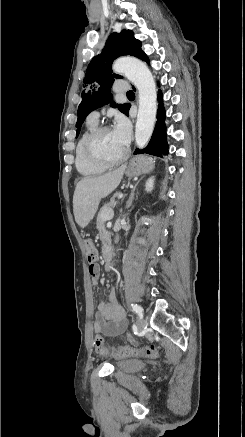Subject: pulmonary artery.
I'll return each mask as SVG.
<instances>
[{
  "label": "pulmonary artery",
  "mask_w": 245,
  "mask_h": 437,
  "mask_svg": "<svg viewBox=\"0 0 245 437\" xmlns=\"http://www.w3.org/2000/svg\"><path fill=\"white\" fill-rule=\"evenodd\" d=\"M130 89V86L127 82L125 81H118L115 86H114V90L117 93H124L127 92ZM88 119L94 122H98L99 120V112L97 110L92 111L89 116Z\"/></svg>",
  "instance_id": "1"
}]
</instances>
